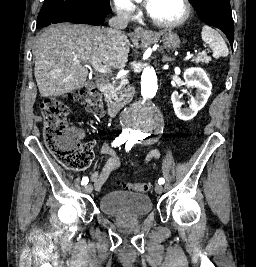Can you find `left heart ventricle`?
Masks as SVG:
<instances>
[{
    "label": "left heart ventricle",
    "instance_id": "1",
    "mask_svg": "<svg viewBox=\"0 0 256 267\" xmlns=\"http://www.w3.org/2000/svg\"><path fill=\"white\" fill-rule=\"evenodd\" d=\"M182 15V10L176 4L170 2L162 12L160 21L163 25L179 19Z\"/></svg>",
    "mask_w": 256,
    "mask_h": 267
}]
</instances>
